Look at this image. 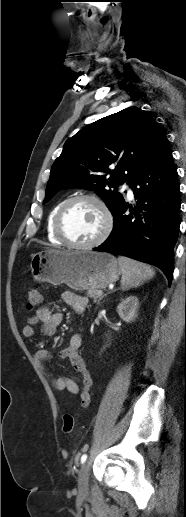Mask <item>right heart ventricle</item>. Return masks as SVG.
<instances>
[{
	"mask_svg": "<svg viewBox=\"0 0 186 517\" xmlns=\"http://www.w3.org/2000/svg\"><path fill=\"white\" fill-rule=\"evenodd\" d=\"M66 201V199L59 201L57 204H55L51 210L48 213L47 219H46V233L48 240L55 245H61L63 242L57 237L55 234L54 229V221L56 214L60 207L63 205V203Z\"/></svg>",
	"mask_w": 186,
	"mask_h": 517,
	"instance_id": "1",
	"label": "right heart ventricle"
}]
</instances>
